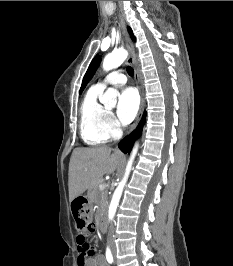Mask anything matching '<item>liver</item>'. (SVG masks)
Listing matches in <instances>:
<instances>
[{
  "instance_id": "obj_1",
  "label": "liver",
  "mask_w": 233,
  "mask_h": 266,
  "mask_svg": "<svg viewBox=\"0 0 233 266\" xmlns=\"http://www.w3.org/2000/svg\"><path fill=\"white\" fill-rule=\"evenodd\" d=\"M123 161L118 150L107 146L76 148L72 152L69 173V201L93 187L105 174H112Z\"/></svg>"
}]
</instances>
